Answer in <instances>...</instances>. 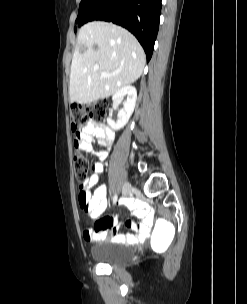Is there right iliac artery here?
<instances>
[{"label": "right iliac artery", "mask_w": 247, "mask_h": 304, "mask_svg": "<svg viewBox=\"0 0 247 304\" xmlns=\"http://www.w3.org/2000/svg\"><path fill=\"white\" fill-rule=\"evenodd\" d=\"M116 201H117V196L114 197L113 202L116 203Z\"/></svg>", "instance_id": "82829eb1"}]
</instances>
